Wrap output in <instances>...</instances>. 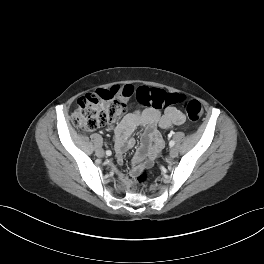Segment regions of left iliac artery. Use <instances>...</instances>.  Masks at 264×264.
I'll list each match as a JSON object with an SVG mask.
<instances>
[{"instance_id":"44dca946","label":"left iliac artery","mask_w":264,"mask_h":264,"mask_svg":"<svg viewBox=\"0 0 264 264\" xmlns=\"http://www.w3.org/2000/svg\"><path fill=\"white\" fill-rule=\"evenodd\" d=\"M169 136L171 137L172 136V133H170ZM169 145H170V147H173L175 145V142L173 140H171L169 142Z\"/></svg>"}]
</instances>
